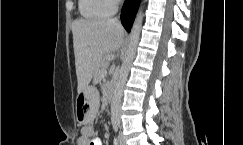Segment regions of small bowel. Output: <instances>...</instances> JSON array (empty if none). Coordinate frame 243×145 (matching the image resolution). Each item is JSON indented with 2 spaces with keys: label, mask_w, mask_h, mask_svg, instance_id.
I'll list each match as a JSON object with an SVG mask.
<instances>
[{
  "label": "small bowel",
  "mask_w": 243,
  "mask_h": 145,
  "mask_svg": "<svg viewBox=\"0 0 243 145\" xmlns=\"http://www.w3.org/2000/svg\"><path fill=\"white\" fill-rule=\"evenodd\" d=\"M78 145H102V141L94 136L91 127H83L78 138Z\"/></svg>",
  "instance_id": "obj_1"
}]
</instances>
